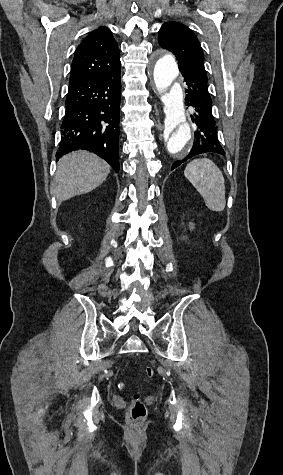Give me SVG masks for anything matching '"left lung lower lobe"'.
Returning <instances> with one entry per match:
<instances>
[{
	"label": "left lung lower lobe",
	"mask_w": 283,
	"mask_h": 475,
	"mask_svg": "<svg viewBox=\"0 0 283 475\" xmlns=\"http://www.w3.org/2000/svg\"><path fill=\"white\" fill-rule=\"evenodd\" d=\"M180 71L188 86L185 98L187 105L193 108L191 118L195 124V139L190 153L183 160L174 162L171 170L201 153L214 152L225 155L218 140L216 121L212 115V100L207 89L206 73L189 69Z\"/></svg>",
	"instance_id": "obj_1"
}]
</instances>
